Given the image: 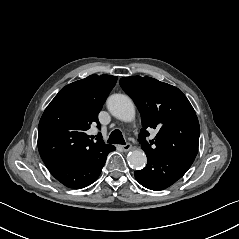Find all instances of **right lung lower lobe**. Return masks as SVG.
Returning <instances> with one entry per match:
<instances>
[{"label":"right lung lower lobe","mask_w":239,"mask_h":239,"mask_svg":"<svg viewBox=\"0 0 239 239\" xmlns=\"http://www.w3.org/2000/svg\"><path fill=\"white\" fill-rule=\"evenodd\" d=\"M115 147L109 145L87 158L45 163L50 173L68 188L80 189L92 184L100 175L107 155Z\"/></svg>","instance_id":"right-lung-lower-lobe-1"}]
</instances>
